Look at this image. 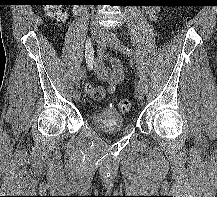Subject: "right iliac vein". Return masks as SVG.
<instances>
[{
    "label": "right iliac vein",
    "instance_id": "obj_1",
    "mask_svg": "<svg viewBox=\"0 0 217 197\" xmlns=\"http://www.w3.org/2000/svg\"><path fill=\"white\" fill-rule=\"evenodd\" d=\"M92 36L95 40H98L101 37V30L97 27L92 28ZM74 100L78 102L80 100V93L78 90L74 91L73 94Z\"/></svg>",
    "mask_w": 217,
    "mask_h": 197
}]
</instances>
